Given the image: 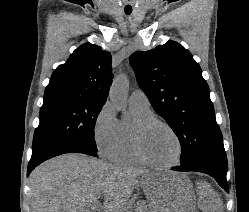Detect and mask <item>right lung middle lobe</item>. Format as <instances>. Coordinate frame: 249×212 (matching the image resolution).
Wrapping results in <instances>:
<instances>
[{
    "label": "right lung middle lobe",
    "instance_id": "right-lung-middle-lobe-1",
    "mask_svg": "<svg viewBox=\"0 0 249 212\" xmlns=\"http://www.w3.org/2000/svg\"><path fill=\"white\" fill-rule=\"evenodd\" d=\"M103 105L79 96L44 98L33 149L48 142L71 140L80 143L89 155L95 156L94 127Z\"/></svg>",
    "mask_w": 249,
    "mask_h": 212
}]
</instances>
